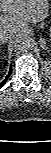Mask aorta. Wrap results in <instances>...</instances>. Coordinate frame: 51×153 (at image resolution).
Returning <instances> with one entry per match:
<instances>
[{"instance_id":"1","label":"aorta","mask_w":51,"mask_h":153,"mask_svg":"<svg viewBox=\"0 0 51 153\" xmlns=\"http://www.w3.org/2000/svg\"><path fill=\"white\" fill-rule=\"evenodd\" d=\"M33 46L34 40L28 34L20 35L13 42L14 50L21 53H26L30 51L33 48Z\"/></svg>"}]
</instances>
